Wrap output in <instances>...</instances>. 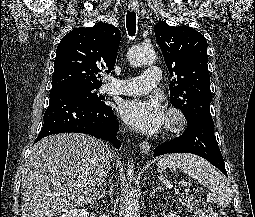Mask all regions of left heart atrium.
<instances>
[{
	"label": "left heart atrium",
	"mask_w": 255,
	"mask_h": 217,
	"mask_svg": "<svg viewBox=\"0 0 255 217\" xmlns=\"http://www.w3.org/2000/svg\"><path fill=\"white\" fill-rule=\"evenodd\" d=\"M123 121L134 130L144 134L157 133L165 123L162 104L157 99H132L119 107Z\"/></svg>",
	"instance_id": "left-heart-atrium-1"
}]
</instances>
